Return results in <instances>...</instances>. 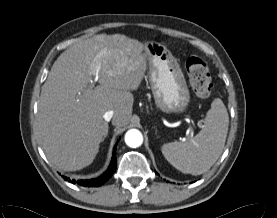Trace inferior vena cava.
<instances>
[{"mask_svg":"<svg viewBox=\"0 0 277 218\" xmlns=\"http://www.w3.org/2000/svg\"><path fill=\"white\" fill-rule=\"evenodd\" d=\"M114 116V112L112 110L106 111L103 115L105 121L109 122Z\"/></svg>","mask_w":277,"mask_h":218,"instance_id":"1","label":"inferior vena cava"}]
</instances>
